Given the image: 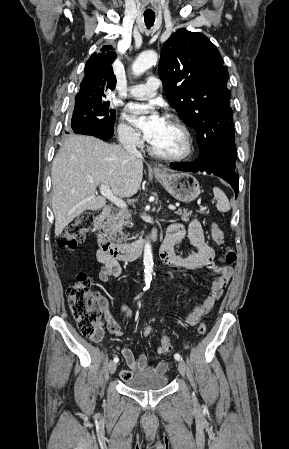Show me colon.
<instances>
[{
	"instance_id": "5ec220e1",
	"label": "colon",
	"mask_w": 289,
	"mask_h": 449,
	"mask_svg": "<svg viewBox=\"0 0 289 449\" xmlns=\"http://www.w3.org/2000/svg\"><path fill=\"white\" fill-rule=\"evenodd\" d=\"M92 220L93 216L90 213L79 215L61 234L58 239V245L68 250L74 249L84 240L91 227ZM211 237L217 245L224 243L223 231L215 222L211 223ZM225 261L230 265L235 263L236 253L232 248L226 249ZM67 298L72 316L77 323L80 333L89 338L95 336L100 328L102 300L92 291L90 281L85 273H79L75 282L68 287ZM197 331L200 335H204L207 331L206 325L201 323ZM142 334L145 337H149L152 334V328L150 326L144 327ZM159 350L163 354L170 352L171 344L168 337H162Z\"/></svg>"
}]
</instances>
